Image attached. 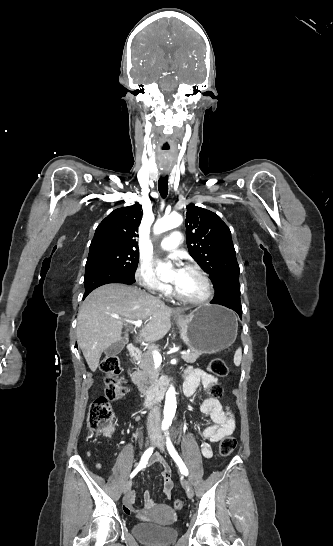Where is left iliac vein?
<instances>
[{"mask_svg": "<svg viewBox=\"0 0 333 546\" xmlns=\"http://www.w3.org/2000/svg\"><path fill=\"white\" fill-rule=\"evenodd\" d=\"M157 447L162 452L165 451V449H164V440H163V438L161 436H159V438H158ZM183 487H184V489L186 491V494H187L188 498H192L193 495H194V491H193V488H192L191 484L188 481H184L183 482Z\"/></svg>", "mask_w": 333, "mask_h": 546, "instance_id": "4c4485c4", "label": "left iliac vein"}]
</instances>
